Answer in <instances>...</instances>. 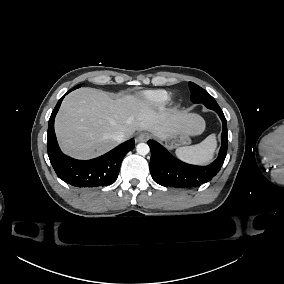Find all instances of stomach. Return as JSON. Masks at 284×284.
I'll return each instance as SVG.
<instances>
[{"mask_svg":"<svg viewBox=\"0 0 284 284\" xmlns=\"http://www.w3.org/2000/svg\"><path fill=\"white\" fill-rule=\"evenodd\" d=\"M164 140L169 149L191 143V139L183 127H177L170 131Z\"/></svg>","mask_w":284,"mask_h":284,"instance_id":"stomach-1","label":"stomach"}]
</instances>
